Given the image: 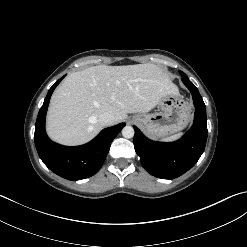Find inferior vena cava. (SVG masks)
<instances>
[{
    "label": "inferior vena cava",
    "mask_w": 247,
    "mask_h": 247,
    "mask_svg": "<svg viewBox=\"0 0 247 247\" xmlns=\"http://www.w3.org/2000/svg\"><path fill=\"white\" fill-rule=\"evenodd\" d=\"M98 121L102 126L112 125L114 123V115L109 112H104L99 115Z\"/></svg>",
    "instance_id": "inferior-vena-cava-1"
}]
</instances>
